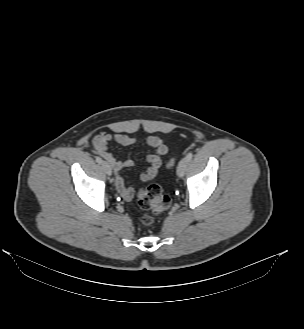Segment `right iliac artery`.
Returning a JSON list of instances; mask_svg holds the SVG:
<instances>
[{
  "mask_svg": "<svg viewBox=\"0 0 304 329\" xmlns=\"http://www.w3.org/2000/svg\"><path fill=\"white\" fill-rule=\"evenodd\" d=\"M96 162L102 163L103 161H102V159L100 157H96Z\"/></svg>",
  "mask_w": 304,
  "mask_h": 329,
  "instance_id": "82829eb1",
  "label": "right iliac artery"
}]
</instances>
